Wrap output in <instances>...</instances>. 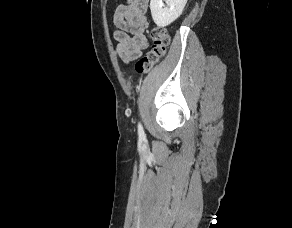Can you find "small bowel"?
Here are the masks:
<instances>
[{
	"label": "small bowel",
	"instance_id": "c3829d8e",
	"mask_svg": "<svg viewBox=\"0 0 292 228\" xmlns=\"http://www.w3.org/2000/svg\"><path fill=\"white\" fill-rule=\"evenodd\" d=\"M149 0H125L114 11L116 52L125 63L141 57L148 47L145 31L148 28L146 12Z\"/></svg>",
	"mask_w": 292,
	"mask_h": 228
}]
</instances>
